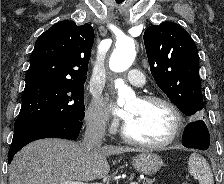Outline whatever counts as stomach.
I'll list each match as a JSON object with an SVG mask.
<instances>
[{
  "mask_svg": "<svg viewBox=\"0 0 224 184\" xmlns=\"http://www.w3.org/2000/svg\"><path fill=\"white\" fill-rule=\"evenodd\" d=\"M132 165L141 174L154 175L161 169L163 161L157 154L146 151L133 157Z\"/></svg>",
  "mask_w": 224,
  "mask_h": 184,
  "instance_id": "stomach-1",
  "label": "stomach"
}]
</instances>
